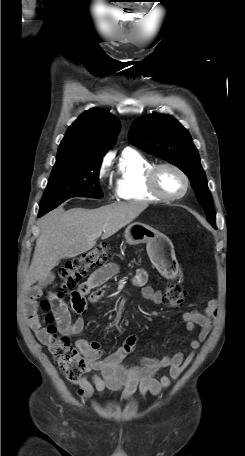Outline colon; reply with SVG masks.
<instances>
[{
	"label": "colon",
	"mask_w": 245,
	"mask_h": 456,
	"mask_svg": "<svg viewBox=\"0 0 245 456\" xmlns=\"http://www.w3.org/2000/svg\"><path fill=\"white\" fill-rule=\"evenodd\" d=\"M109 248V244L102 243L66 262L59 270L61 292L74 288L90 269L105 266L110 259ZM61 292L53 294L51 301H43L42 308L49 310L52 306L54 307L61 301ZM184 297L185 292L178 283H168L164 298L166 305L179 307L182 305ZM52 319L51 315L46 316L48 323L46 330L51 335L49 351L66 378L73 383H78L90 371L91 366L71 344L66 335L57 334V327L52 324Z\"/></svg>",
	"instance_id": "1"
}]
</instances>
